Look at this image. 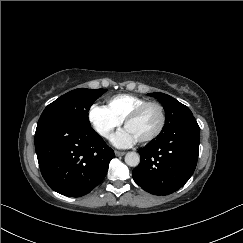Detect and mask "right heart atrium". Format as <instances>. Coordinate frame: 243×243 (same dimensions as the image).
Segmentation results:
<instances>
[{
  "instance_id": "d8ad5b80",
  "label": "right heart atrium",
  "mask_w": 243,
  "mask_h": 243,
  "mask_svg": "<svg viewBox=\"0 0 243 243\" xmlns=\"http://www.w3.org/2000/svg\"><path fill=\"white\" fill-rule=\"evenodd\" d=\"M88 121L93 129L103 138H109L122 120L115 116L105 105L93 104L88 110Z\"/></svg>"
}]
</instances>
